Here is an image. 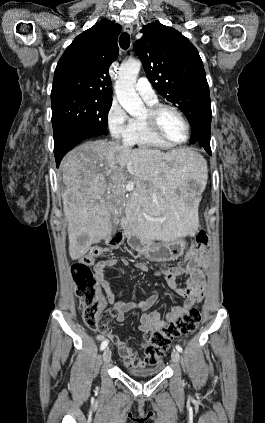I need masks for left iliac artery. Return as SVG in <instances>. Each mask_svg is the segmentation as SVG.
<instances>
[{"instance_id": "1", "label": "left iliac artery", "mask_w": 265, "mask_h": 423, "mask_svg": "<svg viewBox=\"0 0 265 423\" xmlns=\"http://www.w3.org/2000/svg\"><path fill=\"white\" fill-rule=\"evenodd\" d=\"M176 350H177L178 352H182V347H181V346H179V345H176Z\"/></svg>"}]
</instances>
